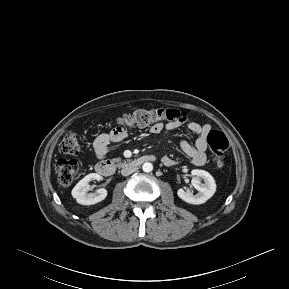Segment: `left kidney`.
<instances>
[{"mask_svg": "<svg viewBox=\"0 0 289 289\" xmlns=\"http://www.w3.org/2000/svg\"><path fill=\"white\" fill-rule=\"evenodd\" d=\"M191 174L193 176L191 183L199 192L193 195V193L189 190L185 191L183 189H179L177 191V195L179 198L189 204H203L215 193V180L207 171L204 170L194 169L191 171ZM201 180H203L204 183H202Z\"/></svg>", "mask_w": 289, "mask_h": 289, "instance_id": "5707ae66", "label": "left kidney"}]
</instances>
